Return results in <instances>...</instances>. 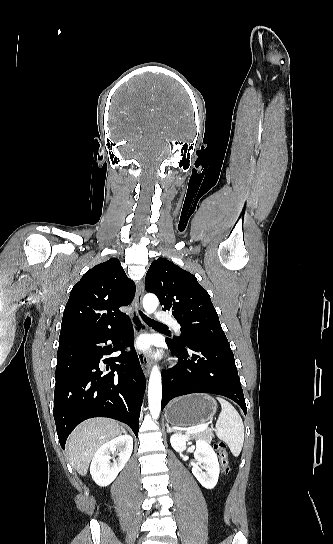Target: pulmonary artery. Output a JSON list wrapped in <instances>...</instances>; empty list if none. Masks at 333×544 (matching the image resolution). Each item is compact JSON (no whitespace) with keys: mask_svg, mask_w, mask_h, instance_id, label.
<instances>
[{"mask_svg":"<svg viewBox=\"0 0 333 544\" xmlns=\"http://www.w3.org/2000/svg\"><path fill=\"white\" fill-rule=\"evenodd\" d=\"M155 316H156V319L159 320V321L172 324L177 331L180 329V325L177 323V321L171 315H169L167 313H163V312H158V313H156Z\"/></svg>","mask_w":333,"mask_h":544,"instance_id":"pulmonary-artery-1","label":"pulmonary artery"}]
</instances>
